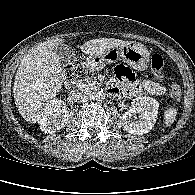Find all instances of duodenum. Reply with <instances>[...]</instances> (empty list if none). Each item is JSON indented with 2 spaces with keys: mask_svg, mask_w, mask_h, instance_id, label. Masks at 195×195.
<instances>
[{
  "mask_svg": "<svg viewBox=\"0 0 195 195\" xmlns=\"http://www.w3.org/2000/svg\"><path fill=\"white\" fill-rule=\"evenodd\" d=\"M82 90H83V86H82V84L79 83V82H76V83H74V84H72V85L70 86V91H71V93H73V94H79L80 92H82ZM107 92L110 93V94H114V91H113L112 88H108V89H107Z\"/></svg>",
  "mask_w": 195,
  "mask_h": 195,
  "instance_id": "1",
  "label": "duodenum"
}]
</instances>
